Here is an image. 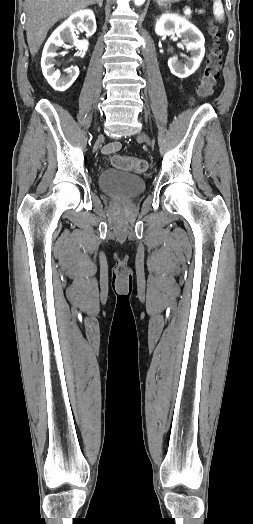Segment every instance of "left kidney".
I'll return each mask as SVG.
<instances>
[{"label":"left kidney","instance_id":"obj_1","mask_svg":"<svg viewBox=\"0 0 253 524\" xmlns=\"http://www.w3.org/2000/svg\"><path fill=\"white\" fill-rule=\"evenodd\" d=\"M155 32L159 36L175 33L183 38L186 50L191 57L183 64L176 57L168 60L171 72L179 78H186L193 74L199 67L205 54V39L203 34L185 18L176 14L165 13L157 19Z\"/></svg>","mask_w":253,"mask_h":524}]
</instances>
